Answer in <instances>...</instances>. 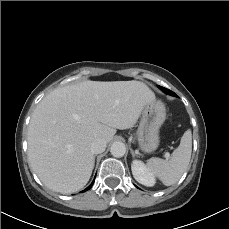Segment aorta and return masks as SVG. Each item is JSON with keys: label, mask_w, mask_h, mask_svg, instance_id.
Masks as SVG:
<instances>
[{"label": "aorta", "mask_w": 229, "mask_h": 229, "mask_svg": "<svg viewBox=\"0 0 229 229\" xmlns=\"http://www.w3.org/2000/svg\"><path fill=\"white\" fill-rule=\"evenodd\" d=\"M110 152L114 157H123L126 153V146L122 142H114L111 145Z\"/></svg>", "instance_id": "762f6f07"}]
</instances>
